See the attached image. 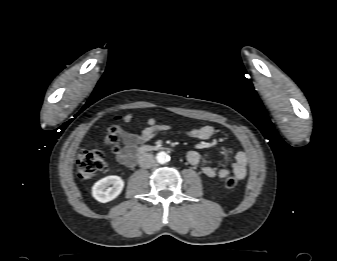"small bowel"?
Here are the masks:
<instances>
[{
  "instance_id": "1",
  "label": "small bowel",
  "mask_w": 337,
  "mask_h": 261,
  "mask_svg": "<svg viewBox=\"0 0 337 261\" xmlns=\"http://www.w3.org/2000/svg\"><path fill=\"white\" fill-rule=\"evenodd\" d=\"M114 119L116 122L123 121L129 123L134 119V115L131 113L122 114L115 116ZM145 124L146 127L139 134L130 133L120 125H115L118 137L123 143V147L115 154V158L119 164L126 167L133 166L136 153L142 145L153 139L155 136L169 132L172 129V126L169 124H158L154 118H147ZM214 133V127L206 125L190 129L184 132V135L193 139L207 140L211 138ZM186 158L191 165L197 166L202 162H206L209 159V155H202L195 150H191L187 153ZM201 172L203 175L210 178H225L232 172L236 178L243 179L247 174V155L243 151L237 152L231 169H218L214 166L205 164L202 166Z\"/></svg>"
}]
</instances>
